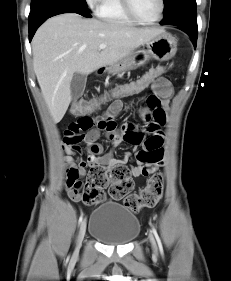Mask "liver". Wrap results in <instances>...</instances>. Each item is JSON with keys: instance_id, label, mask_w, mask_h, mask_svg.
<instances>
[{"instance_id": "obj_1", "label": "liver", "mask_w": 231, "mask_h": 281, "mask_svg": "<svg viewBox=\"0 0 231 281\" xmlns=\"http://www.w3.org/2000/svg\"><path fill=\"white\" fill-rule=\"evenodd\" d=\"M164 32L122 22L84 19L64 13L48 19L32 40L33 66L54 123L64 117L72 100L74 73L90 74L126 57ZM106 48L100 50L99 46Z\"/></svg>"}]
</instances>
